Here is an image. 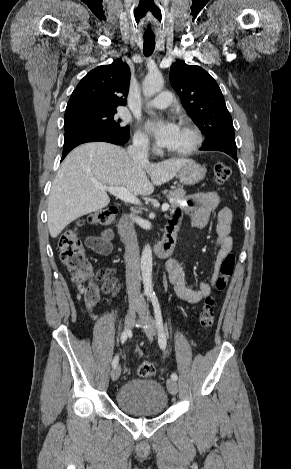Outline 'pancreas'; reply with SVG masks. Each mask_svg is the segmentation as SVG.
Here are the masks:
<instances>
[{"label":"pancreas","instance_id":"obj_1","mask_svg":"<svg viewBox=\"0 0 291 469\" xmlns=\"http://www.w3.org/2000/svg\"><path fill=\"white\" fill-rule=\"evenodd\" d=\"M164 194H166L167 198L171 201V206L175 207L185 198L186 191L178 188L169 192L164 191Z\"/></svg>","mask_w":291,"mask_h":469}]
</instances>
